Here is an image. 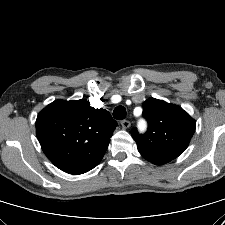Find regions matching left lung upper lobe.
I'll list each match as a JSON object with an SVG mask.
<instances>
[{"label": "left lung upper lobe", "mask_w": 225, "mask_h": 225, "mask_svg": "<svg viewBox=\"0 0 225 225\" xmlns=\"http://www.w3.org/2000/svg\"><path fill=\"white\" fill-rule=\"evenodd\" d=\"M143 109L148 130L138 134L134 128L131 135L145 159L156 165L166 164L185 151L196 122L181 107L155 98L147 99Z\"/></svg>", "instance_id": "left-lung-upper-lobe-1"}]
</instances>
